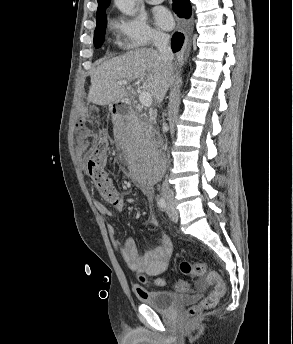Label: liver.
<instances>
[{"label":"liver","mask_w":293,"mask_h":344,"mask_svg":"<svg viewBox=\"0 0 293 344\" xmlns=\"http://www.w3.org/2000/svg\"><path fill=\"white\" fill-rule=\"evenodd\" d=\"M121 80L142 81L143 90L161 102L174 82L173 67L167 71L159 52L152 48L135 49L101 63L91 74L88 100L97 105L124 101L128 88Z\"/></svg>","instance_id":"1"}]
</instances>
